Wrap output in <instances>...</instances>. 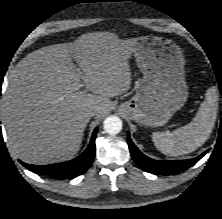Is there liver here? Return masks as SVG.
<instances>
[{"instance_id":"1","label":"liver","mask_w":222,"mask_h":219,"mask_svg":"<svg viewBox=\"0 0 222 219\" xmlns=\"http://www.w3.org/2000/svg\"><path fill=\"white\" fill-rule=\"evenodd\" d=\"M121 42L114 33H87L71 43L42 47L18 62L3 105L14 154L37 165L77 154L92 117L87 112L98 108L96 118L106 115L110 98L131 87L129 58ZM82 86L94 94L79 92Z\"/></svg>"}]
</instances>
